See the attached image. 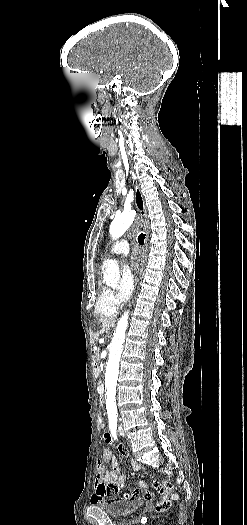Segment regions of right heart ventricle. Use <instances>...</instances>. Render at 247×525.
I'll list each match as a JSON object with an SVG mask.
<instances>
[{
	"label": "right heart ventricle",
	"mask_w": 247,
	"mask_h": 525,
	"mask_svg": "<svg viewBox=\"0 0 247 525\" xmlns=\"http://www.w3.org/2000/svg\"><path fill=\"white\" fill-rule=\"evenodd\" d=\"M123 282V278H122ZM108 289L102 280L98 284V302L96 304L94 315L95 317H116L118 314V306L109 305L105 302V297L108 295Z\"/></svg>",
	"instance_id": "e07e8e85"
}]
</instances>
